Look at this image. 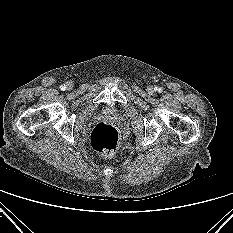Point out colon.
<instances>
[{"mask_svg": "<svg viewBox=\"0 0 233 233\" xmlns=\"http://www.w3.org/2000/svg\"><path fill=\"white\" fill-rule=\"evenodd\" d=\"M90 144L98 152L112 154L120 145L119 132L111 124L99 122L90 133Z\"/></svg>", "mask_w": 233, "mask_h": 233, "instance_id": "1", "label": "colon"}]
</instances>
